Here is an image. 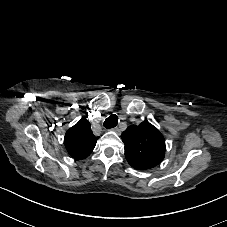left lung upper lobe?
I'll use <instances>...</instances> for the list:
<instances>
[{"mask_svg": "<svg viewBox=\"0 0 227 227\" xmlns=\"http://www.w3.org/2000/svg\"><path fill=\"white\" fill-rule=\"evenodd\" d=\"M125 157L137 170L157 166L165 156V140L160 131L147 120L131 125L122 133Z\"/></svg>", "mask_w": 227, "mask_h": 227, "instance_id": "5c2ea615", "label": "left lung upper lobe"}]
</instances>
